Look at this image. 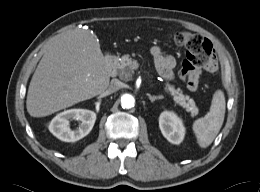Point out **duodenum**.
<instances>
[{
  "label": "duodenum",
  "instance_id": "1",
  "mask_svg": "<svg viewBox=\"0 0 260 192\" xmlns=\"http://www.w3.org/2000/svg\"><path fill=\"white\" fill-rule=\"evenodd\" d=\"M117 66V59L114 56H109L106 59V68L109 74H114Z\"/></svg>",
  "mask_w": 260,
  "mask_h": 192
}]
</instances>
